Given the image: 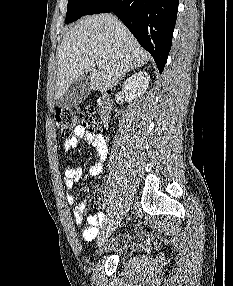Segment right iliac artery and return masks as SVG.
I'll return each mask as SVG.
<instances>
[{
	"label": "right iliac artery",
	"mask_w": 233,
	"mask_h": 286,
	"mask_svg": "<svg viewBox=\"0 0 233 286\" xmlns=\"http://www.w3.org/2000/svg\"><path fill=\"white\" fill-rule=\"evenodd\" d=\"M114 214H115L114 209H111L110 212L108 213L107 218L105 219V224L113 220Z\"/></svg>",
	"instance_id": "obj_1"
}]
</instances>
